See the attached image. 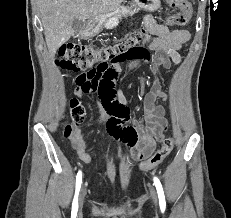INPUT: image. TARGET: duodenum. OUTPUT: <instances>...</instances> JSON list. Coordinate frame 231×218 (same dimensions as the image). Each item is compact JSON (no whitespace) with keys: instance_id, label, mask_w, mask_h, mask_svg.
Returning <instances> with one entry per match:
<instances>
[{"instance_id":"duodenum-1","label":"duodenum","mask_w":231,"mask_h":218,"mask_svg":"<svg viewBox=\"0 0 231 218\" xmlns=\"http://www.w3.org/2000/svg\"><path fill=\"white\" fill-rule=\"evenodd\" d=\"M94 28H95V22L89 21V22L87 23L86 27H85L84 32H85L86 34H89V33H91V32L94 30Z\"/></svg>"}]
</instances>
